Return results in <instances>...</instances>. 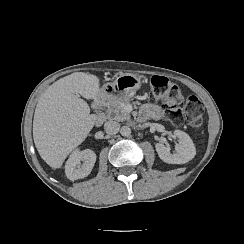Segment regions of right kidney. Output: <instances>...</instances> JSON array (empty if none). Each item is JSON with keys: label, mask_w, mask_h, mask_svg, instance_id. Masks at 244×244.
<instances>
[{"label": "right kidney", "mask_w": 244, "mask_h": 244, "mask_svg": "<svg viewBox=\"0 0 244 244\" xmlns=\"http://www.w3.org/2000/svg\"><path fill=\"white\" fill-rule=\"evenodd\" d=\"M83 161V164H81ZM96 154L86 149L79 151L74 150L65 164V173L69 180H77L88 176L95 164Z\"/></svg>", "instance_id": "obj_1"}]
</instances>
